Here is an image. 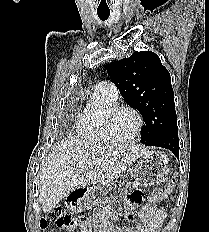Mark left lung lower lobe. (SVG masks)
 I'll return each mask as SVG.
<instances>
[{"label":"left lung lower lobe","instance_id":"0a47b994","mask_svg":"<svg viewBox=\"0 0 209 232\" xmlns=\"http://www.w3.org/2000/svg\"><path fill=\"white\" fill-rule=\"evenodd\" d=\"M154 146L168 149V150L172 151L177 158H179L178 131L171 130V131L164 133L154 143Z\"/></svg>","mask_w":209,"mask_h":232}]
</instances>
